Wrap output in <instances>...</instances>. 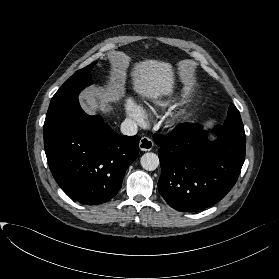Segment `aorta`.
<instances>
[{"label": "aorta", "instance_id": "obj_1", "mask_svg": "<svg viewBox=\"0 0 279 279\" xmlns=\"http://www.w3.org/2000/svg\"><path fill=\"white\" fill-rule=\"evenodd\" d=\"M141 166L147 171H153L159 166V158L158 155L152 152H147L142 155Z\"/></svg>", "mask_w": 279, "mask_h": 279}]
</instances>
